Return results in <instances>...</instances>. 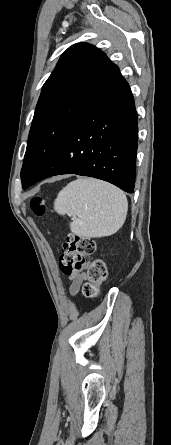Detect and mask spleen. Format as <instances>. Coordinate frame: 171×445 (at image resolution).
I'll return each instance as SVG.
<instances>
[{
  "label": "spleen",
  "mask_w": 171,
  "mask_h": 445,
  "mask_svg": "<svg viewBox=\"0 0 171 445\" xmlns=\"http://www.w3.org/2000/svg\"><path fill=\"white\" fill-rule=\"evenodd\" d=\"M54 209L72 216L71 231L82 237H104L124 224L128 202L119 188L94 178L70 182L57 195Z\"/></svg>",
  "instance_id": "spleen-1"
}]
</instances>
